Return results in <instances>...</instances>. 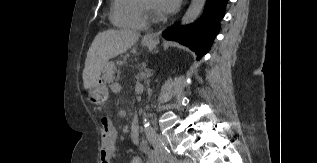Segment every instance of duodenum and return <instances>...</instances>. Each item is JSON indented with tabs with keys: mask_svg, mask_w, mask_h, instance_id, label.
<instances>
[{
	"mask_svg": "<svg viewBox=\"0 0 317 163\" xmlns=\"http://www.w3.org/2000/svg\"><path fill=\"white\" fill-rule=\"evenodd\" d=\"M130 135L133 142L138 143L140 141V128L138 119L136 117L132 119Z\"/></svg>",
	"mask_w": 317,
	"mask_h": 163,
	"instance_id": "duodenum-1",
	"label": "duodenum"
}]
</instances>
